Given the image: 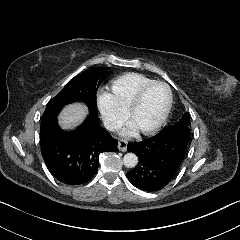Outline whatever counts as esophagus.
Listing matches in <instances>:
<instances>
[{"label":"esophagus","mask_w":240,"mask_h":240,"mask_svg":"<svg viewBox=\"0 0 240 240\" xmlns=\"http://www.w3.org/2000/svg\"><path fill=\"white\" fill-rule=\"evenodd\" d=\"M127 140H119L118 142V150L121 152H125L127 150Z\"/></svg>","instance_id":"1"}]
</instances>
